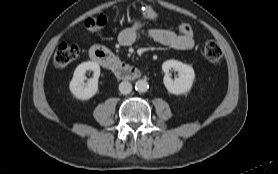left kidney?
I'll return each mask as SVG.
<instances>
[{"label": "left kidney", "mask_w": 278, "mask_h": 174, "mask_svg": "<svg viewBox=\"0 0 278 174\" xmlns=\"http://www.w3.org/2000/svg\"><path fill=\"white\" fill-rule=\"evenodd\" d=\"M171 69L178 71V78L173 80L170 77L169 71ZM162 70L165 73L163 82L168 92L174 95H180L190 91L195 80V73L192 66L172 59L162 64Z\"/></svg>", "instance_id": "left-kidney-1"}]
</instances>
